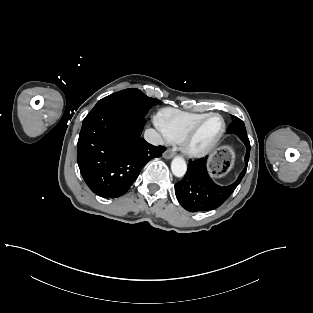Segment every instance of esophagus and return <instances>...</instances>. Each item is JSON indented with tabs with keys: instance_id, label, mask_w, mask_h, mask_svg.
I'll list each match as a JSON object with an SVG mask.
<instances>
[{
	"instance_id": "1",
	"label": "esophagus",
	"mask_w": 313,
	"mask_h": 313,
	"mask_svg": "<svg viewBox=\"0 0 313 313\" xmlns=\"http://www.w3.org/2000/svg\"><path fill=\"white\" fill-rule=\"evenodd\" d=\"M174 155H175V152H174L173 150H171V149H168V150H166V151L164 152L163 157H164L165 159H171V158L174 157Z\"/></svg>"
}]
</instances>
